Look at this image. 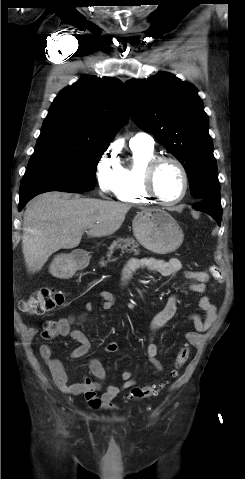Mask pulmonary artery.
Masks as SVG:
<instances>
[{
  "mask_svg": "<svg viewBox=\"0 0 245 479\" xmlns=\"http://www.w3.org/2000/svg\"><path fill=\"white\" fill-rule=\"evenodd\" d=\"M130 145H139V146H143V147L153 148L154 147V139L152 138L151 135H149L147 133L139 132V133H136L130 139Z\"/></svg>",
  "mask_w": 245,
  "mask_h": 479,
  "instance_id": "obj_1",
  "label": "pulmonary artery"
}]
</instances>
